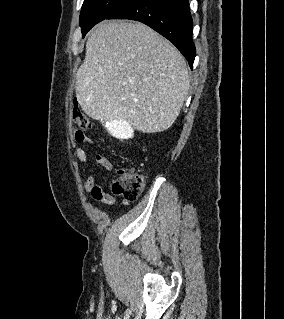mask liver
Listing matches in <instances>:
<instances>
[{
    "instance_id": "1",
    "label": "liver",
    "mask_w": 284,
    "mask_h": 319,
    "mask_svg": "<svg viewBox=\"0 0 284 319\" xmlns=\"http://www.w3.org/2000/svg\"><path fill=\"white\" fill-rule=\"evenodd\" d=\"M189 85L185 59L169 41L142 23L104 21L88 37L75 92L89 117L156 133L172 126Z\"/></svg>"
}]
</instances>
